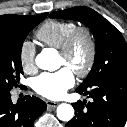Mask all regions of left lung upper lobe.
<instances>
[{
    "label": "left lung upper lobe",
    "instance_id": "1",
    "mask_svg": "<svg viewBox=\"0 0 127 127\" xmlns=\"http://www.w3.org/2000/svg\"><path fill=\"white\" fill-rule=\"evenodd\" d=\"M49 17L80 21L90 28L96 39L93 67L77 91L87 90L103 78L127 79V44L108 20L88 7L56 11Z\"/></svg>",
    "mask_w": 127,
    "mask_h": 127
}]
</instances>
